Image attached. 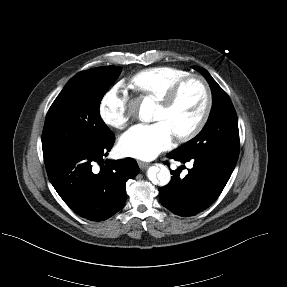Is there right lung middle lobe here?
<instances>
[{
    "label": "right lung middle lobe",
    "mask_w": 287,
    "mask_h": 287,
    "mask_svg": "<svg viewBox=\"0 0 287 287\" xmlns=\"http://www.w3.org/2000/svg\"><path fill=\"white\" fill-rule=\"evenodd\" d=\"M121 70L115 66L93 68L67 82L46 115L44 158L99 145L113 134L101 119L99 106Z\"/></svg>",
    "instance_id": "obj_1"
}]
</instances>
